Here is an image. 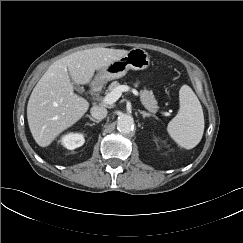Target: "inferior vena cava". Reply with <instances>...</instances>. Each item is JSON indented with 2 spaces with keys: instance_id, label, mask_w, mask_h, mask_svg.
<instances>
[{
  "instance_id": "obj_1",
  "label": "inferior vena cava",
  "mask_w": 243,
  "mask_h": 243,
  "mask_svg": "<svg viewBox=\"0 0 243 243\" xmlns=\"http://www.w3.org/2000/svg\"><path fill=\"white\" fill-rule=\"evenodd\" d=\"M90 113L94 118L102 120L107 116V109L102 105H96L91 108Z\"/></svg>"
}]
</instances>
